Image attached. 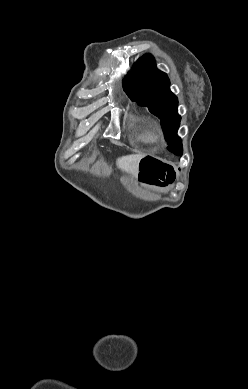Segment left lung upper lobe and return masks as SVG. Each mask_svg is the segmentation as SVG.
Instances as JSON below:
<instances>
[{"label":"left lung upper lobe","instance_id":"obj_1","mask_svg":"<svg viewBox=\"0 0 248 389\" xmlns=\"http://www.w3.org/2000/svg\"><path fill=\"white\" fill-rule=\"evenodd\" d=\"M127 95L138 105L161 120L168 149L181 155L182 141L177 136L181 117L177 112L178 99L170 91V81L166 73L156 68L154 57L145 54L135 63L131 72L124 78Z\"/></svg>","mask_w":248,"mask_h":389}]
</instances>
